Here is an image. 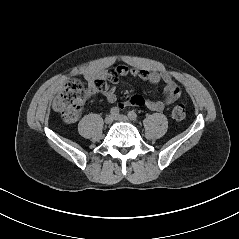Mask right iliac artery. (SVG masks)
Wrapping results in <instances>:
<instances>
[{
	"mask_svg": "<svg viewBox=\"0 0 239 239\" xmlns=\"http://www.w3.org/2000/svg\"><path fill=\"white\" fill-rule=\"evenodd\" d=\"M111 115L116 116L119 114V109L117 107H113L110 110Z\"/></svg>",
	"mask_w": 239,
	"mask_h": 239,
	"instance_id": "obj_1",
	"label": "right iliac artery"
}]
</instances>
